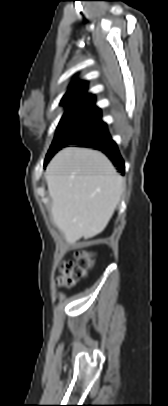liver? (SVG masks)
Wrapping results in <instances>:
<instances>
[{
	"instance_id": "6515ba94",
	"label": "liver",
	"mask_w": 168,
	"mask_h": 406,
	"mask_svg": "<svg viewBox=\"0 0 168 406\" xmlns=\"http://www.w3.org/2000/svg\"><path fill=\"white\" fill-rule=\"evenodd\" d=\"M51 214L68 244L101 233L124 190V179L99 151L68 147L46 169Z\"/></svg>"
}]
</instances>
